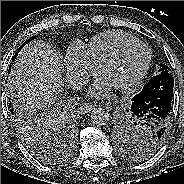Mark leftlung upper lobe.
Segmentation results:
<instances>
[{
  "label": "left lung upper lobe",
  "mask_w": 184,
  "mask_h": 184,
  "mask_svg": "<svg viewBox=\"0 0 184 184\" xmlns=\"http://www.w3.org/2000/svg\"><path fill=\"white\" fill-rule=\"evenodd\" d=\"M169 73L168 66L161 64L159 74ZM169 128V124H168ZM119 149L130 158L143 160L153 155L167 137L168 130L160 133L143 121L135 119L130 112L121 117L115 125Z\"/></svg>",
  "instance_id": "left-lung-upper-lobe-1"
}]
</instances>
